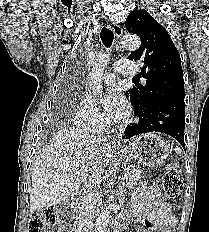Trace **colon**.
<instances>
[{
	"label": "colon",
	"mask_w": 209,
	"mask_h": 232,
	"mask_svg": "<svg viewBox=\"0 0 209 232\" xmlns=\"http://www.w3.org/2000/svg\"><path fill=\"white\" fill-rule=\"evenodd\" d=\"M182 189V176L177 164L172 163L167 167L163 176V190L169 201L179 198ZM58 221L57 209L46 207L34 212L29 219L28 232H49V228Z\"/></svg>",
	"instance_id": "1"
}]
</instances>
